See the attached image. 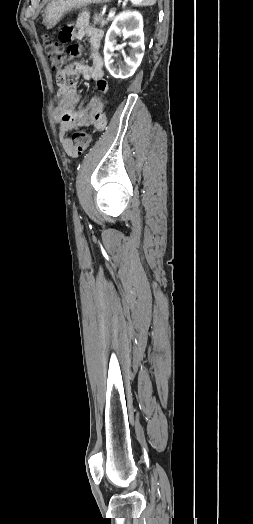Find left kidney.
I'll return each mask as SVG.
<instances>
[{
    "label": "left kidney",
    "mask_w": 253,
    "mask_h": 524,
    "mask_svg": "<svg viewBox=\"0 0 253 524\" xmlns=\"http://www.w3.org/2000/svg\"><path fill=\"white\" fill-rule=\"evenodd\" d=\"M131 38V54L125 59V65L117 66L113 60L114 44L118 35ZM143 18L136 11H127L119 14L109 28L104 45V61L109 73L114 78L125 79L132 76L139 67L144 55Z\"/></svg>",
    "instance_id": "5707ae66"
}]
</instances>
